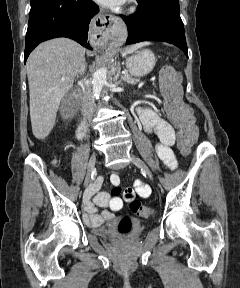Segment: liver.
<instances>
[{"label": "liver", "instance_id": "liver-1", "mask_svg": "<svg viewBox=\"0 0 240 288\" xmlns=\"http://www.w3.org/2000/svg\"><path fill=\"white\" fill-rule=\"evenodd\" d=\"M85 56V49L68 38L38 45L26 67L33 135L45 139L53 129L59 104L71 89Z\"/></svg>", "mask_w": 240, "mask_h": 288}]
</instances>
